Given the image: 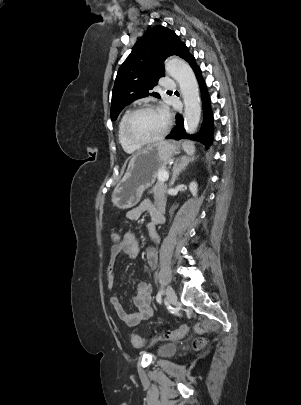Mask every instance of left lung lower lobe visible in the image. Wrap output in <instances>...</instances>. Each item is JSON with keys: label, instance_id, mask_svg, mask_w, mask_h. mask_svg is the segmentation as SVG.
<instances>
[{"label": "left lung lower lobe", "instance_id": "left-lung-lower-lobe-1", "mask_svg": "<svg viewBox=\"0 0 301 405\" xmlns=\"http://www.w3.org/2000/svg\"><path fill=\"white\" fill-rule=\"evenodd\" d=\"M195 72L201 89V97L203 104V122L200 132L195 135H188L184 130L183 117L180 114L176 115V126L171 133L166 137L168 139H193L203 143L206 148L210 147L213 142V115L210 107V98L206 90L200 68L197 66L194 56L190 55L186 60Z\"/></svg>", "mask_w": 301, "mask_h": 405}]
</instances>
